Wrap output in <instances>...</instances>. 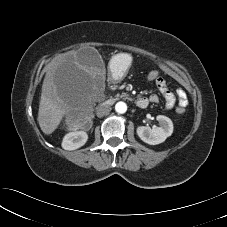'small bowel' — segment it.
I'll return each mask as SVG.
<instances>
[{
  "mask_svg": "<svg viewBox=\"0 0 227 227\" xmlns=\"http://www.w3.org/2000/svg\"><path fill=\"white\" fill-rule=\"evenodd\" d=\"M156 86L158 90L161 92L165 99L164 106L166 109H172L176 101H178V107L185 108L188 105V100L186 93L182 89L177 90V99L175 95L170 91V89L167 86L166 81L162 77H158L157 80L155 81ZM148 101L151 103H159V97L156 94H152L149 96Z\"/></svg>",
  "mask_w": 227,
  "mask_h": 227,
  "instance_id": "1",
  "label": "small bowel"
}]
</instances>
